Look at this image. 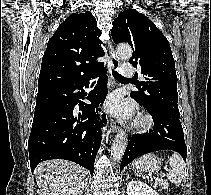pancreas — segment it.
<instances>
[{
    "instance_id": "pancreas-1",
    "label": "pancreas",
    "mask_w": 211,
    "mask_h": 195,
    "mask_svg": "<svg viewBox=\"0 0 211 195\" xmlns=\"http://www.w3.org/2000/svg\"><path fill=\"white\" fill-rule=\"evenodd\" d=\"M159 186L162 187L163 189H168V182L166 181L159 182Z\"/></svg>"
}]
</instances>
